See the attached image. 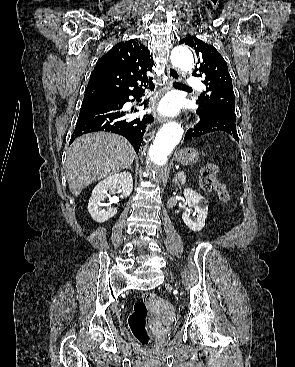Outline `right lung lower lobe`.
Returning a JSON list of instances; mask_svg holds the SVG:
<instances>
[{"label":"right lung lower lobe","mask_w":295,"mask_h":367,"mask_svg":"<svg viewBox=\"0 0 295 367\" xmlns=\"http://www.w3.org/2000/svg\"><path fill=\"white\" fill-rule=\"evenodd\" d=\"M143 93L144 91H138L122 96L84 98L70 144L74 138L83 134L108 131L124 136L138 154L146 125L154 119L149 115L129 116L128 112L122 111V108L129 101L130 95L137 98Z\"/></svg>","instance_id":"1"}]
</instances>
